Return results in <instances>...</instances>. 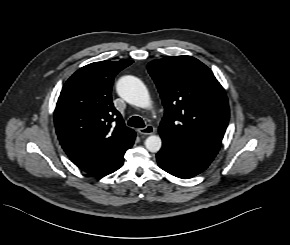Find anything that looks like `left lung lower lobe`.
<instances>
[{"label": "left lung lower lobe", "mask_w": 290, "mask_h": 245, "mask_svg": "<svg viewBox=\"0 0 290 245\" xmlns=\"http://www.w3.org/2000/svg\"><path fill=\"white\" fill-rule=\"evenodd\" d=\"M160 136L163 146L156 155L157 162L160 168L173 176L192 178L204 171L215 157Z\"/></svg>", "instance_id": "0a47b994"}]
</instances>
